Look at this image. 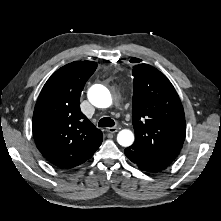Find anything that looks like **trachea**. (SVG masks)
<instances>
[{
  "label": "trachea",
  "mask_w": 221,
  "mask_h": 221,
  "mask_svg": "<svg viewBox=\"0 0 221 221\" xmlns=\"http://www.w3.org/2000/svg\"><path fill=\"white\" fill-rule=\"evenodd\" d=\"M115 125V122L110 117H104L100 119L98 126L99 127H113Z\"/></svg>",
  "instance_id": "3493384b"
}]
</instances>
